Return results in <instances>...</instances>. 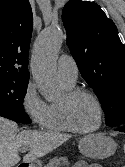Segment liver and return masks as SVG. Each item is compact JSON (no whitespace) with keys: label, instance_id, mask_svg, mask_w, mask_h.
Wrapping results in <instances>:
<instances>
[{"label":"liver","instance_id":"6515ba94","mask_svg":"<svg viewBox=\"0 0 125 167\" xmlns=\"http://www.w3.org/2000/svg\"><path fill=\"white\" fill-rule=\"evenodd\" d=\"M15 122L0 117V167H12L19 161L18 151L21 147H29L30 152L23 157L24 162H33L58 148L70 135L48 133L35 130H23L17 133Z\"/></svg>","mask_w":125,"mask_h":167}]
</instances>
